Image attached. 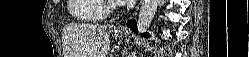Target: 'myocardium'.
Segmentation results:
<instances>
[{"mask_svg":"<svg viewBox=\"0 0 249 57\" xmlns=\"http://www.w3.org/2000/svg\"><path fill=\"white\" fill-rule=\"evenodd\" d=\"M105 13H114L118 10L119 5L113 0H103Z\"/></svg>","mask_w":249,"mask_h":57,"instance_id":"myocardium-1","label":"myocardium"}]
</instances>
